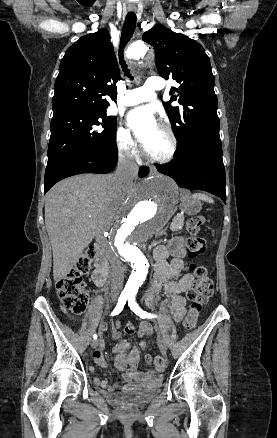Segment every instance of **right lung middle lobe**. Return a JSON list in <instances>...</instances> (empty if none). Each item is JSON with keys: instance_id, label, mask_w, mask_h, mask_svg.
I'll return each mask as SVG.
<instances>
[{"instance_id": "dd1d6c3e", "label": "right lung middle lobe", "mask_w": 277, "mask_h": 438, "mask_svg": "<svg viewBox=\"0 0 277 438\" xmlns=\"http://www.w3.org/2000/svg\"><path fill=\"white\" fill-rule=\"evenodd\" d=\"M116 145V118L106 113H77L53 116L48 148V164L70 154Z\"/></svg>"}]
</instances>
